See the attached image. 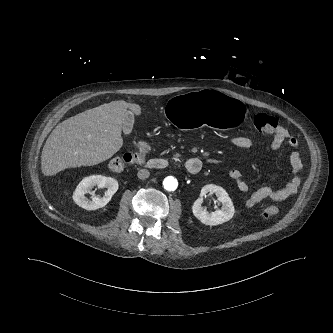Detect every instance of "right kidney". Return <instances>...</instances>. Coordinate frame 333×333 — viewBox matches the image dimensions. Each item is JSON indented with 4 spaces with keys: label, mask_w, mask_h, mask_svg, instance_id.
Instances as JSON below:
<instances>
[{
    "label": "right kidney",
    "mask_w": 333,
    "mask_h": 333,
    "mask_svg": "<svg viewBox=\"0 0 333 333\" xmlns=\"http://www.w3.org/2000/svg\"><path fill=\"white\" fill-rule=\"evenodd\" d=\"M97 186L98 188H107L103 197L93 196L92 200L85 197L91 188ZM118 190V182L111 177L102 175H91L82 179L77 185L74 193L73 200L80 207L86 210H96L104 207Z\"/></svg>",
    "instance_id": "1"
}]
</instances>
